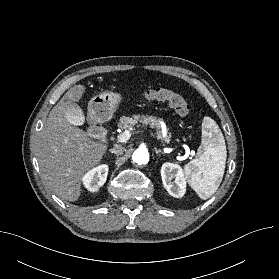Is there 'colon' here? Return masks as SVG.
Instances as JSON below:
<instances>
[{
	"instance_id": "obj_1",
	"label": "colon",
	"mask_w": 279,
	"mask_h": 279,
	"mask_svg": "<svg viewBox=\"0 0 279 279\" xmlns=\"http://www.w3.org/2000/svg\"><path fill=\"white\" fill-rule=\"evenodd\" d=\"M144 97L149 101H167L180 116L189 113V105L186 100L178 93L165 88L149 89L144 93Z\"/></svg>"
}]
</instances>
